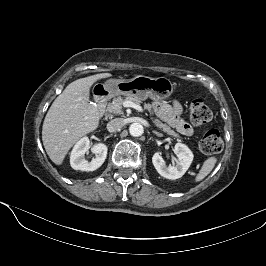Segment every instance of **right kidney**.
I'll use <instances>...</instances> for the list:
<instances>
[{
	"label": "right kidney",
	"mask_w": 266,
	"mask_h": 266,
	"mask_svg": "<svg viewBox=\"0 0 266 266\" xmlns=\"http://www.w3.org/2000/svg\"><path fill=\"white\" fill-rule=\"evenodd\" d=\"M90 148L88 137H83L74 146L70 155V165L75 170L94 171L98 169L105 161L107 156V146L103 143H97L93 146L92 152L96 157L91 161L85 159V153Z\"/></svg>",
	"instance_id": "ca27d5eb"
}]
</instances>
